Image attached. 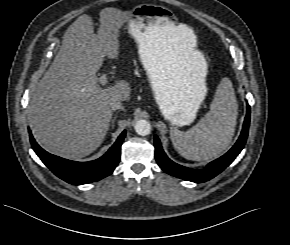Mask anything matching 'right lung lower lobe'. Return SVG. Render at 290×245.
Segmentation results:
<instances>
[{"instance_id": "right-lung-lower-lobe-1", "label": "right lung lower lobe", "mask_w": 290, "mask_h": 245, "mask_svg": "<svg viewBox=\"0 0 290 245\" xmlns=\"http://www.w3.org/2000/svg\"><path fill=\"white\" fill-rule=\"evenodd\" d=\"M125 134L126 131H123L105 155L90 162H76L52 155L37 144L31 132L29 136L33 150L56 176L70 184L81 185L99 181L113 172L120 159Z\"/></svg>"}]
</instances>
